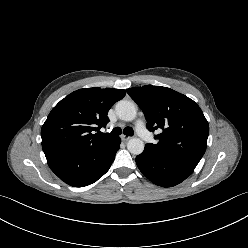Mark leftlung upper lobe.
Listing matches in <instances>:
<instances>
[{
    "instance_id": "5c2ea615",
    "label": "left lung upper lobe",
    "mask_w": 248,
    "mask_h": 248,
    "mask_svg": "<svg viewBox=\"0 0 248 248\" xmlns=\"http://www.w3.org/2000/svg\"><path fill=\"white\" fill-rule=\"evenodd\" d=\"M145 114L150 131L162 129L148 143L151 152L197 165L205 153L209 125L200 107L170 88L146 85L126 90Z\"/></svg>"
}]
</instances>
